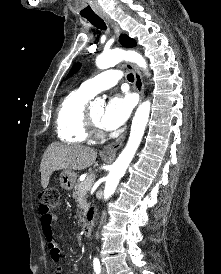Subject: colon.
Returning <instances> with one entry per match:
<instances>
[{"label": "colon", "instance_id": "colon-1", "mask_svg": "<svg viewBox=\"0 0 221 274\" xmlns=\"http://www.w3.org/2000/svg\"><path fill=\"white\" fill-rule=\"evenodd\" d=\"M41 203L48 207H56L60 201V192L57 188L50 187L45 189L40 196Z\"/></svg>", "mask_w": 221, "mask_h": 274}]
</instances>
